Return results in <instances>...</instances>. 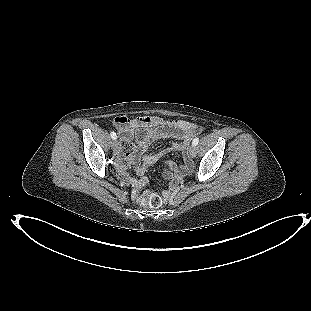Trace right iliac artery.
Wrapping results in <instances>:
<instances>
[{
	"mask_svg": "<svg viewBox=\"0 0 311 311\" xmlns=\"http://www.w3.org/2000/svg\"><path fill=\"white\" fill-rule=\"evenodd\" d=\"M110 135H111L112 139H114V140L117 139V135L115 132H111Z\"/></svg>",
	"mask_w": 311,
	"mask_h": 311,
	"instance_id": "82829eb1",
	"label": "right iliac artery"
}]
</instances>
